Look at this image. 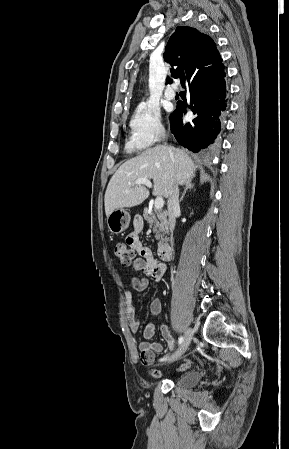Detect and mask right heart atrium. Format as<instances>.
I'll list each match as a JSON object with an SVG mask.
<instances>
[{"mask_svg":"<svg viewBox=\"0 0 289 449\" xmlns=\"http://www.w3.org/2000/svg\"><path fill=\"white\" fill-rule=\"evenodd\" d=\"M130 144L138 149L150 147L164 136L160 113L147 104L136 107L130 120Z\"/></svg>","mask_w":289,"mask_h":449,"instance_id":"d8ad5b80","label":"right heart atrium"}]
</instances>
